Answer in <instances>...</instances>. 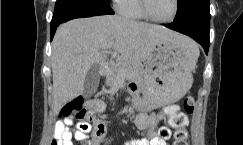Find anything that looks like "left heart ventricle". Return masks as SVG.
Listing matches in <instances>:
<instances>
[{"instance_id": "b2bd125f", "label": "left heart ventricle", "mask_w": 243, "mask_h": 145, "mask_svg": "<svg viewBox=\"0 0 243 145\" xmlns=\"http://www.w3.org/2000/svg\"><path fill=\"white\" fill-rule=\"evenodd\" d=\"M148 7L153 17L166 20L174 10V0H148Z\"/></svg>"}]
</instances>
